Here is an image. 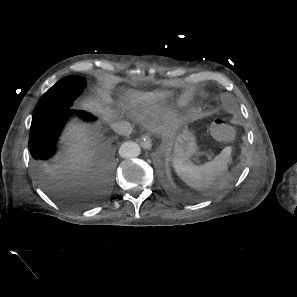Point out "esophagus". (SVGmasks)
Segmentation results:
<instances>
[{"instance_id":"34e87169","label":"esophagus","mask_w":297,"mask_h":297,"mask_svg":"<svg viewBox=\"0 0 297 297\" xmlns=\"http://www.w3.org/2000/svg\"><path fill=\"white\" fill-rule=\"evenodd\" d=\"M140 144L141 146L146 149V150H150L152 147V141H151V137L149 135V133H145L141 136L140 138Z\"/></svg>"}]
</instances>
